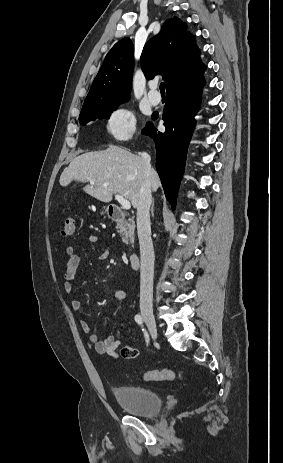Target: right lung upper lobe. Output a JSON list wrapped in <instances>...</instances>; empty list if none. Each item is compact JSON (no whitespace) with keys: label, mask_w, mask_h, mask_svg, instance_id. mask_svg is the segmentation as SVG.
I'll return each instance as SVG.
<instances>
[{"label":"right lung upper lobe","mask_w":283,"mask_h":463,"mask_svg":"<svg viewBox=\"0 0 283 463\" xmlns=\"http://www.w3.org/2000/svg\"><path fill=\"white\" fill-rule=\"evenodd\" d=\"M133 52V43L129 38L118 41L112 47L83 105L129 98L134 67ZM199 56L195 36L187 31L186 23L174 17L166 20L160 32L145 44L140 63L147 78L152 79L161 74L166 89H169L202 76L206 67Z\"/></svg>","instance_id":"right-lung-upper-lobe-1"}]
</instances>
